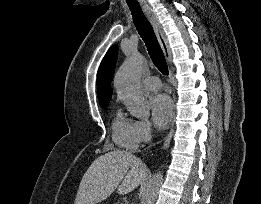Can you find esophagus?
Segmentation results:
<instances>
[{"instance_id":"obj_1","label":"esophagus","mask_w":261,"mask_h":204,"mask_svg":"<svg viewBox=\"0 0 261 204\" xmlns=\"http://www.w3.org/2000/svg\"><path fill=\"white\" fill-rule=\"evenodd\" d=\"M142 8H143V11L145 12L147 18L149 19L150 23L152 24V26L154 28L156 37H157L158 42H159V44L162 48L164 56H165L168 64L171 67V70H170L171 75H173V68H172V64H171V51H170L167 39H166V37L163 33L162 27L159 23V20H158L156 14L154 13V11L150 8V6L143 5ZM172 134H173V130H171L169 132V134L167 135V137L165 139V142H164V145H163L164 149H167L169 147L170 142H171V138H172Z\"/></svg>"}]
</instances>
